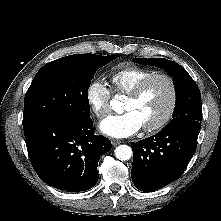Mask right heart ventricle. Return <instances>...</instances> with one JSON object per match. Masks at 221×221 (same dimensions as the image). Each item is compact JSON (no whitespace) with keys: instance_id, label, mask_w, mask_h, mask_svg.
<instances>
[{"instance_id":"e07e8e85","label":"right heart ventricle","mask_w":221,"mask_h":221,"mask_svg":"<svg viewBox=\"0 0 221 221\" xmlns=\"http://www.w3.org/2000/svg\"><path fill=\"white\" fill-rule=\"evenodd\" d=\"M154 71L135 65L125 66L111 75L113 90L117 94L127 95L143 78Z\"/></svg>"}]
</instances>
